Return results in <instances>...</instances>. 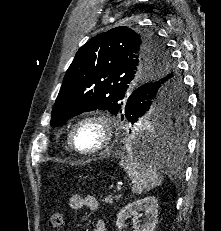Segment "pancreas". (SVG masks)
Returning <instances> with one entry per match:
<instances>
[{
  "instance_id": "obj_1",
  "label": "pancreas",
  "mask_w": 221,
  "mask_h": 231,
  "mask_svg": "<svg viewBox=\"0 0 221 231\" xmlns=\"http://www.w3.org/2000/svg\"><path fill=\"white\" fill-rule=\"evenodd\" d=\"M120 198V196H112V195H108L104 198V202L105 203H109L112 204L114 200H118Z\"/></svg>"
}]
</instances>
